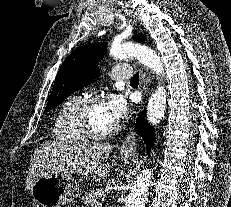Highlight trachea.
Instances as JSON below:
<instances>
[{"label":"trachea","instance_id":"1","mask_svg":"<svg viewBox=\"0 0 231 207\" xmlns=\"http://www.w3.org/2000/svg\"><path fill=\"white\" fill-rule=\"evenodd\" d=\"M130 83H139V73H136L130 80Z\"/></svg>","mask_w":231,"mask_h":207}]
</instances>
